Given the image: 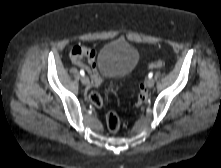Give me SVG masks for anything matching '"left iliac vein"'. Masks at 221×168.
<instances>
[{"label": "left iliac vein", "mask_w": 221, "mask_h": 168, "mask_svg": "<svg viewBox=\"0 0 221 168\" xmlns=\"http://www.w3.org/2000/svg\"><path fill=\"white\" fill-rule=\"evenodd\" d=\"M154 83L155 81L152 79V78H149L147 81H146V86L148 88H152L154 86Z\"/></svg>", "instance_id": "4c4485c4"}]
</instances>
